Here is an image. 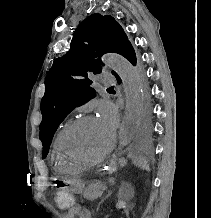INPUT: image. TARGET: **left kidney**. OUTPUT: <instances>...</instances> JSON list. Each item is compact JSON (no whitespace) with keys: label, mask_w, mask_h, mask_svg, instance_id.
I'll return each instance as SVG.
<instances>
[{"label":"left kidney","mask_w":211,"mask_h":218,"mask_svg":"<svg viewBox=\"0 0 211 218\" xmlns=\"http://www.w3.org/2000/svg\"><path fill=\"white\" fill-rule=\"evenodd\" d=\"M114 210H122V215H134L133 202H128V198H123V202H116Z\"/></svg>","instance_id":"obj_1"}]
</instances>
